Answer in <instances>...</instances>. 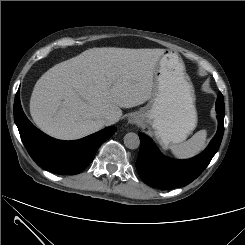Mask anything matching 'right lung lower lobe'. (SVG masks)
<instances>
[{"instance_id": "obj_1", "label": "right lung lower lobe", "mask_w": 245, "mask_h": 245, "mask_svg": "<svg viewBox=\"0 0 245 245\" xmlns=\"http://www.w3.org/2000/svg\"><path fill=\"white\" fill-rule=\"evenodd\" d=\"M14 119L23 144L36 164L60 175L80 173L93 161L100 145L116 131V127H108L75 141L54 139L37 129L26 117L19 91L14 102Z\"/></svg>"}]
</instances>
